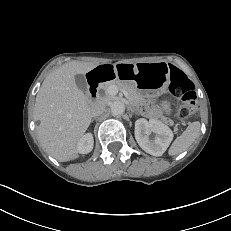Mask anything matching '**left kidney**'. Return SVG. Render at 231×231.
Returning <instances> with one entry per match:
<instances>
[{"mask_svg":"<svg viewBox=\"0 0 231 231\" xmlns=\"http://www.w3.org/2000/svg\"><path fill=\"white\" fill-rule=\"evenodd\" d=\"M152 132L156 134L153 140L149 138ZM135 139L145 152L162 156L173 139V133L159 120L140 118L135 122Z\"/></svg>","mask_w":231,"mask_h":231,"instance_id":"5707ae66","label":"left kidney"}]
</instances>
